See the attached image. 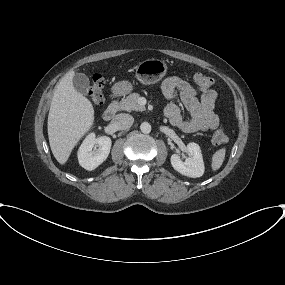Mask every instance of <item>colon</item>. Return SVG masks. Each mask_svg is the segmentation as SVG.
Here are the masks:
<instances>
[{"label": "colon", "mask_w": 285, "mask_h": 285, "mask_svg": "<svg viewBox=\"0 0 285 285\" xmlns=\"http://www.w3.org/2000/svg\"><path fill=\"white\" fill-rule=\"evenodd\" d=\"M193 82L200 89H210L214 86L215 81L213 78L206 76L202 73H195L192 76ZM103 86L104 80L101 75H94L90 88H89V98L91 102L95 105H101L103 103ZM228 140L227 135L222 130H217L212 136V143L215 146H220L226 143Z\"/></svg>", "instance_id": "colon-1"}]
</instances>
